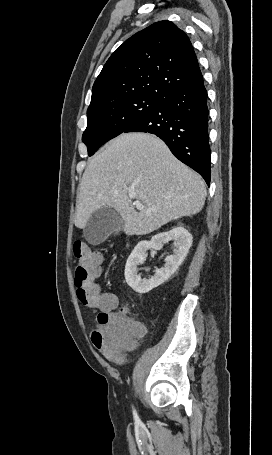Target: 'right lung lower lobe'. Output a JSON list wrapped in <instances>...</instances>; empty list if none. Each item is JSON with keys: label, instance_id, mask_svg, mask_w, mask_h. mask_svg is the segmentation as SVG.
<instances>
[{"label": "right lung lower lobe", "instance_id": "right-lung-lower-lobe-1", "mask_svg": "<svg viewBox=\"0 0 272 455\" xmlns=\"http://www.w3.org/2000/svg\"><path fill=\"white\" fill-rule=\"evenodd\" d=\"M126 132H148L161 138L180 161L210 184L207 91L203 76L167 94L161 105Z\"/></svg>", "mask_w": 272, "mask_h": 455}]
</instances>
